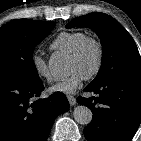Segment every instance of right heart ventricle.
Here are the masks:
<instances>
[{
    "mask_svg": "<svg viewBox=\"0 0 141 141\" xmlns=\"http://www.w3.org/2000/svg\"><path fill=\"white\" fill-rule=\"evenodd\" d=\"M87 37L84 32H62L51 43L50 48L70 54Z\"/></svg>",
    "mask_w": 141,
    "mask_h": 141,
    "instance_id": "e07e8e85",
    "label": "right heart ventricle"
}]
</instances>
